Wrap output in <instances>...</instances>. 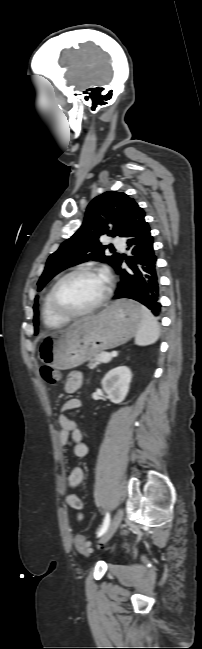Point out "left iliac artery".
I'll list each match as a JSON object with an SVG mask.
<instances>
[{"instance_id": "44dca946", "label": "left iliac artery", "mask_w": 202, "mask_h": 649, "mask_svg": "<svg viewBox=\"0 0 202 649\" xmlns=\"http://www.w3.org/2000/svg\"><path fill=\"white\" fill-rule=\"evenodd\" d=\"M109 524H110V515L107 512L106 515H105L103 524H102L101 528L99 529V531L97 533L98 537L102 536L107 531V529L109 527Z\"/></svg>"}]
</instances>
